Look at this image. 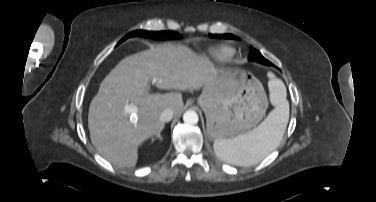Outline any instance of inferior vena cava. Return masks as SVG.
<instances>
[{"label": "inferior vena cava", "mask_w": 376, "mask_h": 202, "mask_svg": "<svg viewBox=\"0 0 376 202\" xmlns=\"http://www.w3.org/2000/svg\"><path fill=\"white\" fill-rule=\"evenodd\" d=\"M172 118H173V111L171 109H165L159 117L160 121L163 123L169 122Z\"/></svg>", "instance_id": "obj_1"}]
</instances>
